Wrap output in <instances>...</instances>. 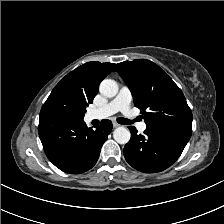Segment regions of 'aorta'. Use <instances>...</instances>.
<instances>
[{"mask_svg": "<svg viewBox=\"0 0 224 224\" xmlns=\"http://www.w3.org/2000/svg\"><path fill=\"white\" fill-rule=\"evenodd\" d=\"M99 91L103 96L112 98L118 93V84L112 79H104L100 83ZM130 137L129 129L123 126L117 127L113 132V138L119 144H127Z\"/></svg>", "mask_w": 224, "mask_h": 224, "instance_id": "obj_1", "label": "aorta"}]
</instances>
